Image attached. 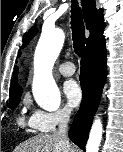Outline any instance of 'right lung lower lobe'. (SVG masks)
Listing matches in <instances>:
<instances>
[{"mask_svg": "<svg viewBox=\"0 0 123 152\" xmlns=\"http://www.w3.org/2000/svg\"><path fill=\"white\" fill-rule=\"evenodd\" d=\"M106 75V49L103 38L86 48L81 60L80 84L83 97L80 109L69 130V137L82 149H85L88 132L100 102Z\"/></svg>", "mask_w": 123, "mask_h": 152, "instance_id": "98d812e1", "label": "right lung lower lobe"}]
</instances>
